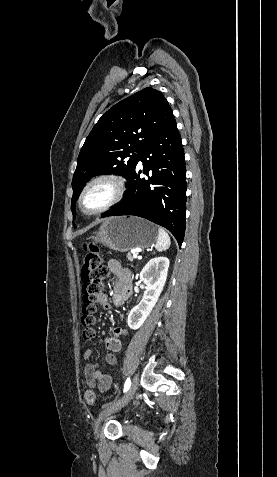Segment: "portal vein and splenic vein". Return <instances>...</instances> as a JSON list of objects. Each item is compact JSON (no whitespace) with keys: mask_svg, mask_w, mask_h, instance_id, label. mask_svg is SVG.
I'll list each match as a JSON object with an SVG mask.
<instances>
[{"mask_svg":"<svg viewBox=\"0 0 277 477\" xmlns=\"http://www.w3.org/2000/svg\"><path fill=\"white\" fill-rule=\"evenodd\" d=\"M133 257H134L135 259H136V258H140L137 253H134V254H133Z\"/></svg>","mask_w":277,"mask_h":477,"instance_id":"portal-vein-and-splenic-vein-1","label":"portal vein and splenic vein"}]
</instances>
